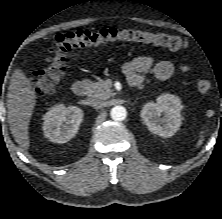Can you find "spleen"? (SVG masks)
<instances>
[{"label": "spleen", "mask_w": 222, "mask_h": 219, "mask_svg": "<svg viewBox=\"0 0 222 219\" xmlns=\"http://www.w3.org/2000/svg\"><path fill=\"white\" fill-rule=\"evenodd\" d=\"M203 138H204V136H201V138L199 139V141L197 143L198 146H200L203 143V140H204Z\"/></svg>", "instance_id": "1"}]
</instances>
